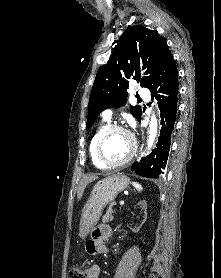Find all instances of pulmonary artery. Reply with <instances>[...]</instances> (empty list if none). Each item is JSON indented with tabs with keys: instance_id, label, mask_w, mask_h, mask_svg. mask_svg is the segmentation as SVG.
I'll return each instance as SVG.
<instances>
[{
	"instance_id": "e3ab8cb5",
	"label": "pulmonary artery",
	"mask_w": 221,
	"mask_h": 278,
	"mask_svg": "<svg viewBox=\"0 0 221 278\" xmlns=\"http://www.w3.org/2000/svg\"><path fill=\"white\" fill-rule=\"evenodd\" d=\"M138 95L140 97L144 98L145 100H148V98H149V93L146 88H140L138 91ZM102 115L106 120H110L111 118H113V110L106 109L103 111Z\"/></svg>"
}]
</instances>
